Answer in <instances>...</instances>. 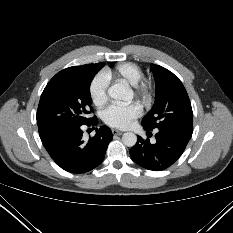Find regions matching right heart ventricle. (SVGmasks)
I'll use <instances>...</instances> for the list:
<instances>
[{
  "mask_svg": "<svg viewBox=\"0 0 233 233\" xmlns=\"http://www.w3.org/2000/svg\"><path fill=\"white\" fill-rule=\"evenodd\" d=\"M103 73L108 79H111L112 76H117L132 86L137 85L143 79L142 69L131 62L120 63L115 67L114 71L105 70Z\"/></svg>",
  "mask_w": 233,
  "mask_h": 233,
  "instance_id": "1",
  "label": "right heart ventricle"
}]
</instances>
